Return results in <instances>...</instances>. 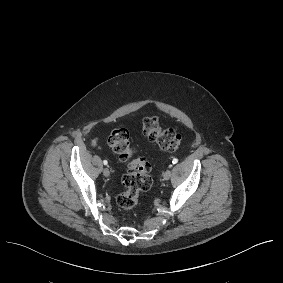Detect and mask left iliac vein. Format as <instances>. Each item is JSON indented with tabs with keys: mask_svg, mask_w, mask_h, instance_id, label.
<instances>
[{
	"mask_svg": "<svg viewBox=\"0 0 283 283\" xmlns=\"http://www.w3.org/2000/svg\"><path fill=\"white\" fill-rule=\"evenodd\" d=\"M171 174H172L171 170H169V169L166 170L165 173H164V175H163V180H164V181L169 180L170 177H171Z\"/></svg>",
	"mask_w": 283,
	"mask_h": 283,
	"instance_id": "4c4485c4",
	"label": "left iliac vein"
}]
</instances>
